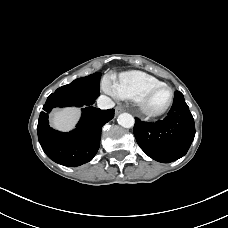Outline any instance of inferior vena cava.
Listing matches in <instances>:
<instances>
[{
	"label": "inferior vena cava",
	"mask_w": 228,
	"mask_h": 228,
	"mask_svg": "<svg viewBox=\"0 0 228 228\" xmlns=\"http://www.w3.org/2000/svg\"><path fill=\"white\" fill-rule=\"evenodd\" d=\"M115 103L107 96L101 95L97 100V106L100 109H110L113 108Z\"/></svg>",
	"instance_id": "obj_1"
}]
</instances>
